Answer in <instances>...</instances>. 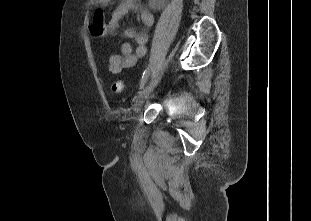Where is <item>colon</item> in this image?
Wrapping results in <instances>:
<instances>
[{"label":"colon","instance_id":"obj_1","mask_svg":"<svg viewBox=\"0 0 311 221\" xmlns=\"http://www.w3.org/2000/svg\"><path fill=\"white\" fill-rule=\"evenodd\" d=\"M109 23L105 19L102 11L94 13L93 22L90 25V30L94 37H103L109 33ZM127 90L126 83L123 80H118L112 84V92L115 94L124 93Z\"/></svg>","mask_w":311,"mask_h":221}]
</instances>
